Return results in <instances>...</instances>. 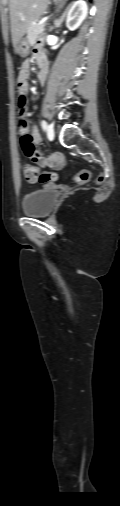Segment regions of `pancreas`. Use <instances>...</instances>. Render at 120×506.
Here are the masks:
<instances>
[{
	"mask_svg": "<svg viewBox=\"0 0 120 506\" xmlns=\"http://www.w3.org/2000/svg\"><path fill=\"white\" fill-rule=\"evenodd\" d=\"M45 24L38 25L36 24H30V26L27 29V39L30 43V45H34L38 35H40L44 31Z\"/></svg>",
	"mask_w": 120,
	"mask_h": 506,
	"instance_id": "1",
	"label": "pancreas"
}]
</instances>
